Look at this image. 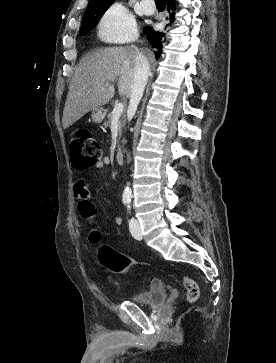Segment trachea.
I'll return each instance as SVG.
<instances>
[{"label":"trachea","mask_w":276,"mask_h":363,"mask_svg":"<svg viewBox=\"0 0 276 363\" xmlns=\"http://www.w3.org/2000/svg\"><path fill=\"white\" fill-rule=\"evenodd\" d=\"M156 5H166V0H155Z\"/></svg>","instance_id":"obj_1"}]
</instances>
